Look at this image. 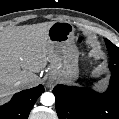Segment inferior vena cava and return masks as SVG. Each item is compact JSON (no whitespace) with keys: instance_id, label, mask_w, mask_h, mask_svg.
Wrapping results in <instances>:
<instances>
[{"instance_id":"inferior-vena-cava-1","label":"inferior vena cava","mask_w":119,"mask_h":119,"mask_svg":"<svg viewBox=\"0 0 119 119\" xmlns=\"http://www.w3.org/2000/svg\"><path fill=\"white\" fill-rule=\"evenodd\" d=\"M29 81L28 77H21L15 82V86L25 85Z\"/></svg>"}]
</instances>
